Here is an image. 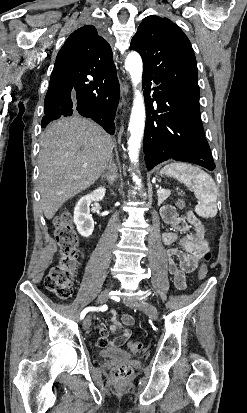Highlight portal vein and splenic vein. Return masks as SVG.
<instances>
[{"instance_id":"portal-vein-and-splenic-vein-1","label":"portal vein and splenic vein","mask_w":247,"mask_h":413,"mask_svg":"<svg viewBox=\"0 0 247 413\" xmlns=\"http://www.w3.org/2000/svg\"><path fill=\"white\" fill-rule=\"evenodd\" d=\"M162 190H165V188H158V192H162ZM182 192V191H178ZM179 196H185V193H179Z\"/></svg>"}]
</instances>
